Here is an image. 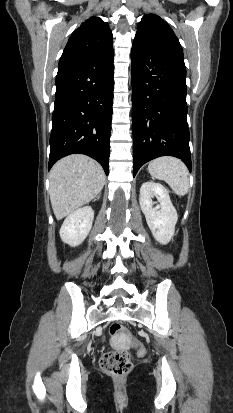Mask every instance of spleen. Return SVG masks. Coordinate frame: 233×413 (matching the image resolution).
<instances>
[{"mask_svg": "<svg viewBox=\"0 0 233 413\" xmlns=\"http://www.w3.org/2000/svg\"><path fill=\"white\" fill-rule=\"evenodd\" d=\"M151 176L164 180L178 196H184L189 189V172L185 164L174 157H160L148 165Z\"/></svg>", "mask_w": 233, "mask_h": 413, "instance_id": "3e777b00", "label": "spleen"}]
</instances>
